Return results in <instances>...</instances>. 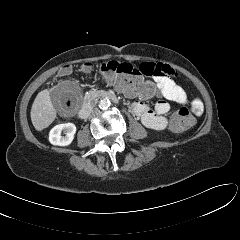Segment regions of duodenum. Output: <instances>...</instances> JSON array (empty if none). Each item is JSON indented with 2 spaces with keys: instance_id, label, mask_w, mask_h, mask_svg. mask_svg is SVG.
I'll use <instances>...</instances> for the list:
<instances>
[{
  "instance_id": "duodenum-1",
  "label": "duodenum",
  "mask_w": 240,
  "mask_h": 240,
  "mask_svg": "<svg viewBox=\"0 0 240 240\" xmlns=\"http://www.w3.org/2000/svg\"><path fill=\"white\" fill-rule=\"evenodd\" d=\"M96 99H111L114 100L115 96L107 91H100V92H92L87 97L79 111L80 118H86L90 112L91 106L93 105Z\"/></svg>"
}]
</instances>
